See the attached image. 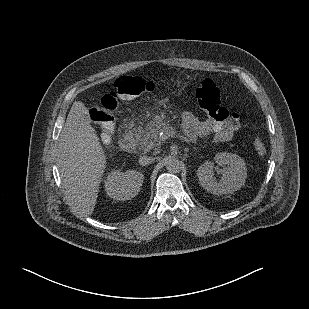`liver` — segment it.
Listing matches in <instances>:
<instances>
[{
    "label": "liver",
    "instance_id": "liver-1",
    "mask_svg": "<svg viewBox=\"0 0 309 309\" xmlns=\"http://www.w3.org/2000/svg\"><path fill=\"white\" fill-rule=\"evenodd\" d=\"M105 163L89 110L75 101L60 134L58 166L68 198L84 214L94 211Z\"/></svg>",
    "mask_w": 309,
    "mask_h": 309
}]
</instances>
